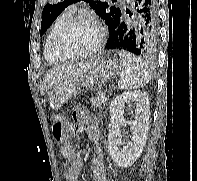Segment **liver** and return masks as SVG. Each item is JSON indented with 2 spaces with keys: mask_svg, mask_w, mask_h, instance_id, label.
Returning a JSON list of instances; mask_svg holds the SVG:
<instances>
[{
  "mask_svg": "<svg viewBox=\"0 0 197 181\" xmlns=\"http://www.w3.org/2000/svg\"><path fill=\"white\" fill-rule=\"evenodd\" d=\"M87 66L88 63L85 62L74 65H62L49 69L41 82V95H45L47 90L51 89L58 82L73 78L74 76L82 73L86 70Z\"/></svg>",
  "mask_w": 197,
  "mask_h": 181,
  "instance_id": "obj_1",
  "label": "liver"
}]
</instances>
